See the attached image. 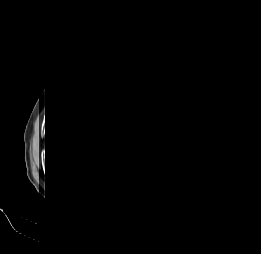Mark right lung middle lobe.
Here are the masks:
<instances>
[{
  "label": "right lung middle lobe",
  "instance_id": "right-lung-middle-lobe-1",
  "mask_svg": "<svg viewBox=\"0 0 261 254\" xmlns=\"http://www.w3.org/2000/svg\"><path fill=\"white\" fill-rule=\"evenodd\" d=\"M96 105L91 96V89L73 83L57 95L50 119L59 118L76 122L94 134L101 135L103 130L96 117Z\"/></svg>",
  "mask_w": 261,
  "mask_h": 254
}]
</instances>
